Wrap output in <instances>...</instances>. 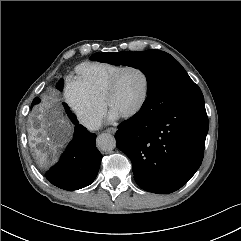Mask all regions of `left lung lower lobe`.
<instances>
[{"mask_svg": "<svg viewBox=\"0 0 241 241\" xmlns=\"http://www.w3.org/2000/svg\"><path fill=\"white\" fill-rule=\"evenodd\" d=\"M208 126L204 101L169 106L157 90L133 117L118 125L115 138L131 159L137 184L167 194L186 184L200 167Z\"/></svg>", "mask_w": 241, "mask_h": 241, "instance_id": "obj_1", "label": "left lung lower lobe"}]
</instances>
